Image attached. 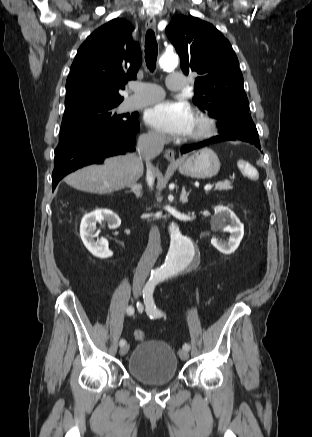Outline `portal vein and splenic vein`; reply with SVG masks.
<instances>
[{
    "instance_id": "portal-vein-and-splenic-vein-1",
    "label": "portal vein and splenic vein",
    "mask_w": 312,
    "mask_h": 437,
    "mask_svg": "<svg viewBox=\"0 0 312 437\" xmlns=\"http://www.w3.org/2000/svg\"><path fill=\"white\" fill-rule=\"evenodd\" d=\"M212 185L211 184H208V185H206L205 187H204V189L205 190H211L212 189Z\"/></svg>"
}]
</instances>
